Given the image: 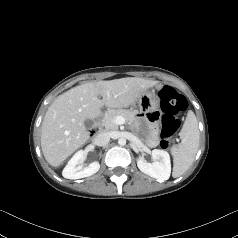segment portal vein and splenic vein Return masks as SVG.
<instances>
[{
    "label": "portal vein and splenic vein",
    "mask_w": 238,
    "mask_h": 238,
    "mask_svg": "<svg viewBox=\"0 0 238 238\" xmlns=\"http://www.w3.org/2000/svg\"><path fill=\"white\" fill-rule=\"evenodd\" d=\"M114 123H116L117 125H122L125 123V118L122 117V116H117L115 119H114Z\"/></svg>",
    "instance_id": "1"
}]
</instances>
